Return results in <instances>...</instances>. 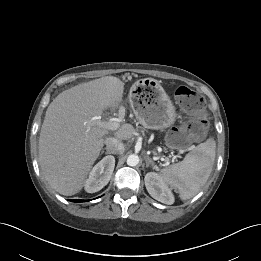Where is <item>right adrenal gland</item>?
I'll return each mask as SVG.
<instances>
[{"label":"right adrenal gland","mask_w":261,"mask_h":261,"mask_svg":"<svg viewBox=\"0 0 261 261\" xmlns=\"http://www.w3.org/2000/svg\"><path fill=\"white\" fill-rule=\"evenodd\" d=\"M102 153H104V149H103ZM105 154H110V152H109V151H106Z\"/></svg>","instance_id":"2a0ac1e0"}]
</instances>
